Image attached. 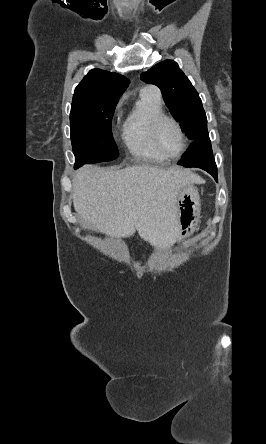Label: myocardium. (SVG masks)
<instances>
[{"instance_id":"myocardium-1","label":"myocardium","mask_w":266,"mask_h":444,"mask_svg":"<svg viewBox=\"0 0 266 444\" xmlns=\"http://www.w3.org/2000/svg\"><path fill=\"white\" fill-rule=\"evenodd\" d=\"M166 121H169V122H171V123L174 124V126H175L176 129L178 130L179 135H180V138H181V147H180V150H179V152H178L177 154H175V155H168V154H166V153L163 151V149L161 148L160 144H159V140H158L159 129H160V126H161L164 122H166ZM151 138H152V142H153V145H154V147L156 148V150H157L160 154H162L163 156H165V157H166V156H176V157H177V156H180V155H182V154L185 152V150H186V148H187V138H186V135H185V133H184V130H183L182 126L180 125V123L178 122V120H176L174 117L169 116V115H166V114H162V115L156 117V118L154 119V121L152 122V126H151Z\"/></svg>"}]
</instances>
